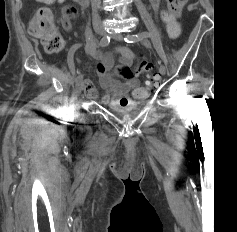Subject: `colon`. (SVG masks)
<instances>
[{"label": "colon", "instance_id": "1", "mask_svg": "<svg viewBox=\"0 0 237 232\" xmlns=\"http://www.w3.org/2000/svg\"><path fill=\"white\" fill-rule=\"evenodd\" d=\"M37 1L43 2L45 5H52L56 2H62L63 0ZM63 13L68 19H74L77 15L76 9L73 7H66ZM160 18L166 24L170 37L174 39L178 38L181 30L176 15L169 9H162L160 11ZM28 31L32 37L41 41L47 53L56 54L62 49V38L56 30L53 14L47 6L34 9L29 21ZM152 69L153 65L142 59L136 66L135 71L137 73H150ZM158 80V76L153 74L146 79L144 87L151 90L158 83Z\"/></svg>", "mask_w": 237, "mask_h": 232}]
</instances>
